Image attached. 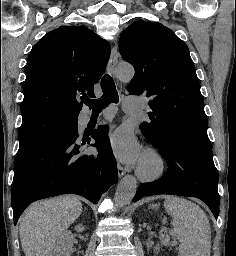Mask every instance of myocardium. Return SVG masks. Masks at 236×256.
<instances>
[{
    "label": "myocardium",
    "mask_w": 236,
    "mask_h": 256,
    "mask_svg": "<svg viewBox=\"0 0 236 256\" xmlns=\"http://www.w3.org/2000/svg\"><path fill=\"white\" fill-rule=\"evenodd\" d=\"M167 170L168 163L163 153L154 147H149L143 154L136 175L140 181L151 183L160 180Z\"/></svg>",
    "instance_id": "f54148a6"
}]
</instances>
